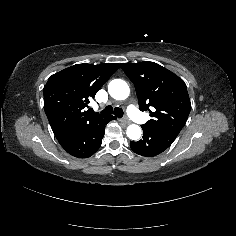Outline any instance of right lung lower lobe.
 <instances>
[{
	"label": "right lung lower lobe",
	"mask_w": 236,
	"mask_h": 236,
	"mask_svg": "<svg viewBox=\"0 0 236 236\" xmlns=\"http://www.w3.org/2000/svg\"><path fill=\"white\" fill-rule=\"evenodd\" d=\"M115 119L114 116L109 115L74 128L56 138L63 149L70 155L77 158H87L99 149L106 124Z\"/></svg>",
	"instance_id": "obj_1"
}]
</instances>
